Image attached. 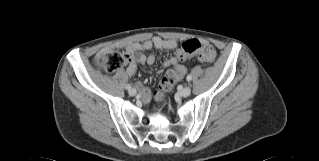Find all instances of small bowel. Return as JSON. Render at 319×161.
<instances>
[{"label":"small bowel","instance_id":"c3829d8e","mask_svg":"<svg viewBox=\"0 0 319 161\" xmlns=\"http://www.w3.org/2000/svg\"><path fill=\"white\" fill-rule=\"evenodd\" d=\"M204 46H208L207 41H203ZM117 48L123 49L128 57V66L126 69V75L132 76L137 69V62L143 65H153L156 62V56L144 55L142 52L150 50L152 47H155L159 50H176L178 48V43L172 39H164L159 36L153 37L151 40H146L142 42H128V43H120L116 46ZM115 46H105L101 53L104 54L106 52L112 51ZM177 56V55H176ZM174 56L169 60L165 61L164 65L167 67H172L173 69L180 68L181 72L179 74V79H182L186 73L185 67L181 64L180 61L177 60V57ZM151 97L150 90L147 88H143L141 92V102L148 103Z\"/></svg>","mask_w":319,"mask_h":161}]
</instances>
